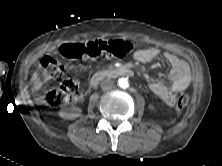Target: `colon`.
<instances>
[{
	"instance_id": "obj_1",
	"label": "colon",
	"mask_w": 222,
	"mask_h": 166,
	"mask_svg": "<svg viewBox=\"0 0 222 166\" xmlns=\"http://www.w3.org/2000/svg\"><path fill=\"white\" fill-rule=\"evenodd\" d=\"M134 45L126 40H94L90 42L67 43L61 46V57L72 60H94L99 57H122L131 52ZM44 79H59L64 68L56 56H45L40 64ZM80 86L76 79L64 80L60 85L49 91L42 102L51 108H61L79 98ZM189 102L188 95L181 93L176 99V109H184Z\"/></svg>"
}]
</instances>
